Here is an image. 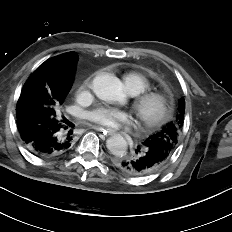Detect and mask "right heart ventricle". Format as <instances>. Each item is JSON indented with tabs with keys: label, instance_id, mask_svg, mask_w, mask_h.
<instances>
[{
	"label": "right heart ventricle",
	"instance_id": "obj_1",
	"mask_svg": "<svg viewBox=\"0 0 232 232\" xmlns=\"http://www.w3.org/2000/svg\"><path fill=\"white\" fill-rule=\"evenodd\" d=\"M123 82L128 92L138 95L151 87L150 80L143 74L129 72L123 76Z\"/></svg>",
	"mask_w": 232,
	"mask_h": 232
}]
</instances>
